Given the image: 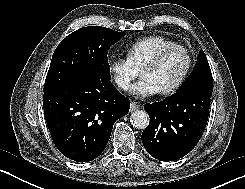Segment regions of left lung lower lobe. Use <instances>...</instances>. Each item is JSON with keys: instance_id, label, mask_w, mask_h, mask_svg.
<instances>
[{"instance_id": "left-lung-lower-lobe-1", "label": "left lung lower lobe", "mask_w": 245, "mask_h": 189, "mask_svg": "<svg viewBox=\"0 0 245 189\" xmlns=\"http://www.w3.org/2000/svg\"><path fill=\"white\" fill-rule=\"evenodd\" d=\"M211 95L200 89H188L145 105L150 122L142 133V142L147 152L161 161L177 160L188 154L206 127Z\"/></svg>"}]
</instances>
